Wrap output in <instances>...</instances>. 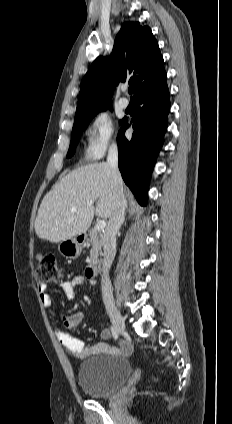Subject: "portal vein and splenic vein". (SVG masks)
<instances>
[{
	"label": "portal vein and splenic vein",
	"instance_id": "18ae733b",
	"mask_svg": "<svg viewBox=\"0 0 232 424\" xmlns=\"http://www.w3.org/2000/svg\"><path fill=\"white\" fill-rule=\"evenodd\" d=\"M93 203H94V201H89V202H87V206H91V205H93ZM71 211L72 212H75V211H77V208L76 207H73L72 209H71ZM106 226V222L104 221V220H99V221H97V224H96V226H95V228L97 229V230H101V229H103L104 227Z\"/></svg>",
	"mask_w": 232,
	"mask_h": 424
}]
</instances>
